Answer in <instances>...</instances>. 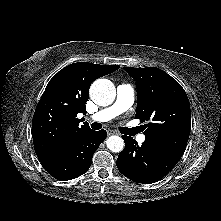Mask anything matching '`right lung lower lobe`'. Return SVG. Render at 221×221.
<instances>
[{
	"label": "right lung lower lobe",
	"mask_w": 221,
	"mask_h": 221,
	"mask_svg": "<svg viewBox=\"0 0 221 221\" xmlns=\"http://www.w3.org/2000/svg\"><path fill=\"white\" fill-rule=\"evenodd\" d=\"M106 136L105 130H89L58 154L40 162L52 177L60 181L75 179L90 168L92 156Z\"/></svg>",
	"instance_id": "obj_1"
}]
</instances>
